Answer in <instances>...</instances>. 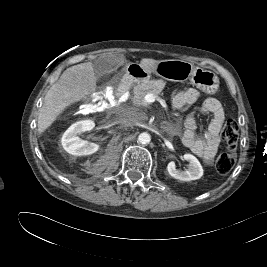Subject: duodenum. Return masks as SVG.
I'll return each instance as SVG.
<instances>
[{"instance_id": "410a0bca", "label": "duodenum", "mask_w": 267, "mask_h": 267, "mask_svg": "<svg viewBox=\"0 0 267 267\" xmlns=\"http://www.w3.org/2000/svg\"><path fill=\"white\" fill-rule=\"evenodd\" d=\"M135 82L134 75L126 76L119 85L118 88V97L122 100H125L127 97V93L131 89L133 83Z\"/></svg>"}]
</instances>
